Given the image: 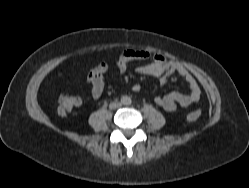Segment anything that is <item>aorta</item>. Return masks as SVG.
I'll use <instances>...</instances> for the list:
<instances>
[{
	"label": "aorta",
	"instance_id": "aorta-1",
	"mask_svg": "<svg viewBox=\"0 0 249 188\" xmlns=\"http://www.w3.org/2000/svg\"><path fill=\"white\" fill-rule=\"evenodd\" d=\"M121 102H122V104H124V105H129V104L131 103V99H130V97H128V96H122Z\"/></svg>",
	"mask_w": 249,
	"mask_h": 188
}]
</instances>
